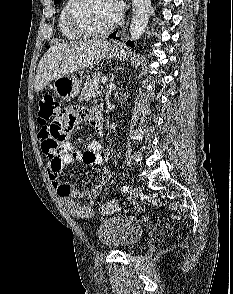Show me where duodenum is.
Listing matches in <instances>:
<instances>
[{
  "label": "duodenum",
  "instance_id": "obj_1",
  "mask_svg": "<svg viewBox=\"0 0 233 294\" xmlns=\"http://www.w3.org/2000/svg\"><path fill=\"white\" fill-rule=\"evenodd\" d=\"M97 119H98L97 131H98L100 134H102V133H103L102 124H101V122H100V120H99L98 117H97Z\"/></svg>",
  "mask_w": 233,
  "mask_h": 294
}]
</instances>
